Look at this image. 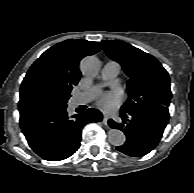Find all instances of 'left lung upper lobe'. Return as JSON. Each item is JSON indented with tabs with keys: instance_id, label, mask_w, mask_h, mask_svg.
Returning <instances> with one entry per match:
<instances>
[{
	"instance_id": "left-lung-upper-lobe-1",
	"label": "left lung upper lobe",
	"mask_w": 194,
	"mask_h": 193,
	"mask_svg": "<svg viewBox=\"0 0 194 193\" xmlns=\"http://www.w3.org/2000/svg\"><path fill=\"white\" fill-rule=\"evenodd\" d=\"M102 45L108 57L120 63L130 77L129 95L122 110L169 107L172 95L169 75L156 58L121 41H103Z\"/></svg>"
}]
</instances>
